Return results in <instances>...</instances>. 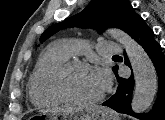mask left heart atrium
<instances>
[{
	"mask_svg": "<svg viewBox=\"0 0 165 120\" xmlns=\"http://www.w3.org/2000/svg\"><path fill=\"white\" fill-rule=\"evenodd\" d=\"M94 74H95L101 88L103 90L106 89L110 84L109 73L105 69H96V70H94Z\"/></svg>",
	"mask_w": 165,
	"mask_h": 120,
	"instance_id": "left-heart-atrium-1",
	"label": "left heart atrium"
}]
</instances>
